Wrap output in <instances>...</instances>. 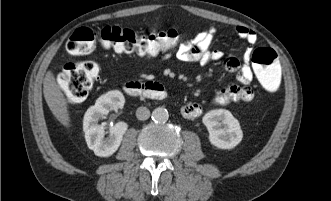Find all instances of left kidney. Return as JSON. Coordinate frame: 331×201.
Instances as JSON below:
<instances>
[{"instance_id": "1", "label": "left kidney", "mask_w": 331, "mask_h": 201, "mask_svg": "<svg viewBox=\"0 0 331 201\" xmlns=\"http://www.w3.org/2000/svg\"><path fill=\"white\" fill-rule=\"evenodd\" d=\"M202 122L209 132L210 143L217 148H234L243 138L239 121L228 110H211L203 116Z\"/></svg>"}]
</instances>
